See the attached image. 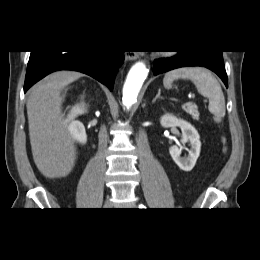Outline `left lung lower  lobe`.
<instances>
[{
	"label": "left lung lower lobe",
	"instance_id": "obj_1",
	"mask_svg": "<svg viewBox=\"0 0 260 260\" xmlns=\"http://www.w3.org/2000/svg\"><path fill=\"white\" fill-rule=\"evenodd\" d=\"M200 66L216 73L228 88L227 74L224 67L222 51H185L170 58H161L154 62V75H158L176 68Z\"/></svg>",
	"mask_w": 260,
	"mask_h": 260
}]
</instances>
